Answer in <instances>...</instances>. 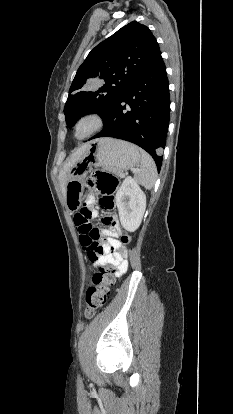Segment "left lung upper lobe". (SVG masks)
<instances>
[{"label": "left lung upper lobe", "instance_id": "5c2ea615", "mask_svg": "<svg viewBox=\"0 0 233 414\" xmlns=\"http://www.w3.org/2000/svg\"><path fill=\"white\" fill-rule=\"evenodd\" d=\"M159 53L149 28L136 21L98 44L77 70L70 87L64 107L67 125L73 126L89 113L106 116ZM95 82L101 87L94 88Z\"/></svg>", "mask_w": 233, "mask_h": 414}]
</instances>
